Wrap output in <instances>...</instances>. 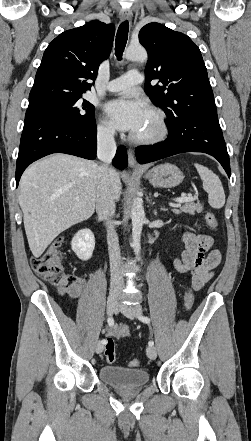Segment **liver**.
I'll return each mask as SVG.
<instances>
[{
  "label": "liver",
  "mask_w": 251,
  "mask_h": 441,
  "mask_svg": "<svg viewBox=\"0 0 251 441\" xmlns=\"http://www.w3.org/2000/svg\"><path fill=\"white\" fill-rule=\"evenodd\" d=\"M98 168L94 161L54 154L24 171L19 204L29 248L36 258L61 232L93 215ZM113 171L118 199L122 185Z\"/></svg>",
  "instance_id": "1"
}]
</instances>
